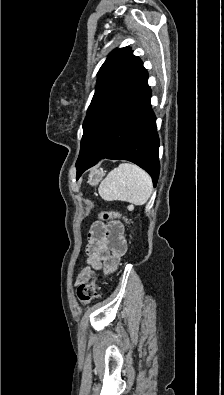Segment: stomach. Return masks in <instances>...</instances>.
<instances>
[{"instance_id": "stomach-1", "label": "stomach", "mask_w": 224, "mask_h": 395, "mask_svg": "<svg viewBox=\"0 0 224 395\" xmlns=\"http://www.w3.org/2000/svg\"><path fill=\"white\" fill-rule=\"evenodd\" d=\"M104 176V172L101 169H94L90 172L88 183L92 186L97 185Z\"/></svg>"}]
</instances>
